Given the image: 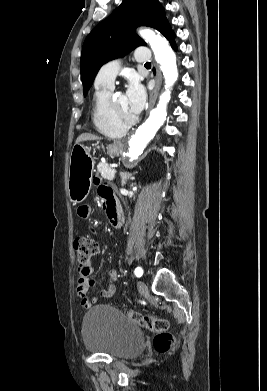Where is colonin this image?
<instances>
[{"instance_id": "1", "label": "colon", "mask_w": 267, "mask_h": 391, "mask_svg": "<svg viewBox=\"0 0 267 391\" xmlns=\"http://www.w3.org/2000/svg\"><path fill=\"white\" fill-rule=\"evenodd\" d=\"M79 268L89 269L93 257L98 254L99 245L96 239L89 236H78L73 243ZM125 316L137 325L154 335L153 344L160 353L167 352L174 344V336L168 331L169 322L151 314H142L136 310H127Z\"/></svg>"}]
</instances>
